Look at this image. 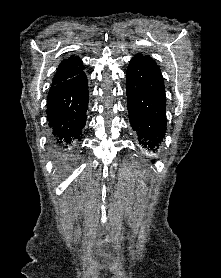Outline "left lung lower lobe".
I'll use <instances>...</instances> for the list:
<instances>
[{
	"mask_svg": "<svg viewBox=\"0 0 221 278\" xmlns=\"http://www.w3.org/2000/svg\"><path fill=\"white\" fill-rule=\"evenodd\" d=\"M129 119L139 143L155 149L166 131V96L159 66L151 57L132 59L126 74Z\"/></svg>",
	"mask_w": 221,
	"mask_h": 278,
	"instance_id": "1",
	"label": "left lung lower lobe"
}]
</instances>
